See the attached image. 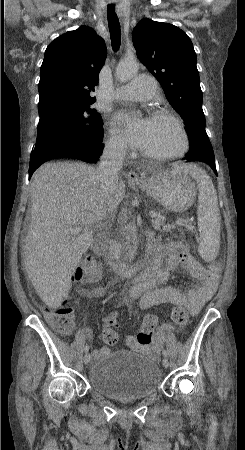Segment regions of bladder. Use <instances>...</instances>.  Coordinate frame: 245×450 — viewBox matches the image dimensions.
Here are the masks:
<instances>
[{
  "label": "bladder",
  "instance_id": "31cf9c89",
  "mask_svg": "<svg viewBox=\"0 0 245 450\" xmlns=\"http://www.w3.org/2000/svg\"><path fill=\"white\" fill-rule=\"evenodd\" d=\"M161 380L159 365L147 355L116 350L92 363L88 384L106 398L131 401L156 392Z\"/></svg>",
  "mask_w": 245,
  "mask_h": 450
}]
</instances>
